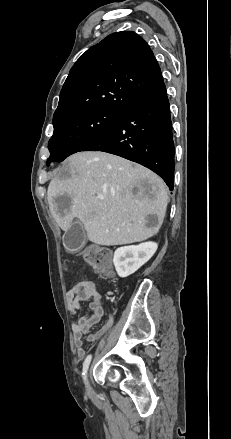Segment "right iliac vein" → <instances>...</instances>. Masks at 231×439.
<instances>
[{"mask_svg": "<svg viewBox=\"0 0 231 439\" xmlns=\"http://www.w3.org/2000/svg\"><path fill=\"white\" fill-rule=\"evenodd\" d=\"M86 384H87V392L89 394H93V390H92L91 386L89 385V383L87 382Z\"/></svg>", "mask_w": 231, "mask_h": 439, "instance_id": "1", "label": "right iliac vein"}]
</instances>
